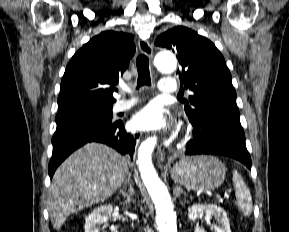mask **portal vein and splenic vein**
Segmentation results:
<instances>
[{
  "label": "portal vein and splenic vein",
  "instance_id": "18ae733b",
  "mask_svg": "<svg viewBox=\"0 0 289 232\" xmlns=\"http://www.w3.org/2000/svg\"><path fill=\"white\" fill-rule=\"evenodd\" d=\"M224 198H225V199H230V198H231L230 193H225V194H224Z\"/></svg>",
  "mask_w": 289,
  "mask_h": 232
}]
</instances>
